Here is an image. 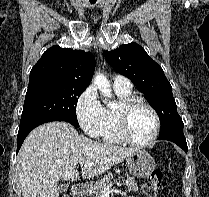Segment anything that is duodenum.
<instances>
[{"mask_svg": "<svg viewBox=\"0 0 209 197\" xmlns=\"http://www.w3.org/2000/svg\"><path fill=\"white\" fill-rule=\"evenodd\" d=\"M87 192V189L84 185L76 184L72 188V194L74 197H83Z\"/></svg>", "mask_w": 209, "mask_h": 197, "instance_id": "410a0bca", "label": "duodenum"}]
</instances>
